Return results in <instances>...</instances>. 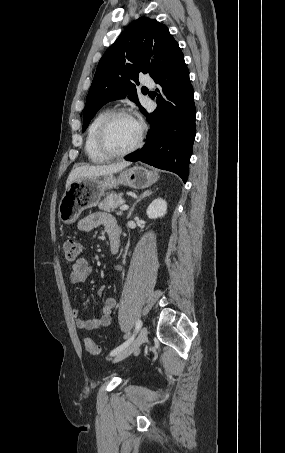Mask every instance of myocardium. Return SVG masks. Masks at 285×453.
<instances>
[{"instance_id": "f54148a6", "label": "myocardium", "mask_w": 285, "mask_h": 453, "mask_svg": "<svg viewBox=\"0 0 285 453\" xmlns=\"http://www.w3.org/2000/svg\"><path fill=\"white\" fill-rule=\"evenodd\" d=\"M122 116L134 119L139 124L140 130L136 142L131 147L122 151H115L108 144L107 139L108 130L113 121ZM145 133H146L145 124L141 120H139L131 111L127 109H117L110 112L100 124L96 137L97 147L100 150V152L108 158L124 157L126 155L133 153L142 146L145 138Z\"/></svg>"}]
</instances>
